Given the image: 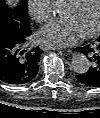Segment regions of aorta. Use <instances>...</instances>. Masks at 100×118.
<instances>
[{
    "instance_id": "aorta-1",
    "label": "aorta",
    "mask_w": 100,
    "mask_h": 118,
    "mask_svg": "<svg viewBox=\"0 0 100 118\" xmlns=\"http://www.w3.org/2000/svg\"><path fill=\"white\" fill-rule=\"evenodd\" d=\"M71 64L73 70L78 74L86 73L90 68V62L88 58L81 53H77L73 56Z\"/></svg>"
}]
</instances>
